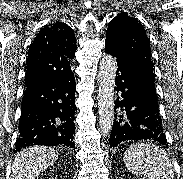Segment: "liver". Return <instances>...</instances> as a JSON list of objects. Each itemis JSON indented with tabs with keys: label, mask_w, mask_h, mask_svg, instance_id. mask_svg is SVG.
Wrapping results in <instances>:
<instances>
[{
	"label": "liver",
	"mask_w": 183,
	"mask_h": 179,
	"mask_svg": "<svg viewBox=\"0 0 183 179\" xmlns=\"http://www.w3.org/2000/svg\"><path fill=\"white\" fill-rule=\"evenodd\" d=\"M58 158L51 147L33 146L21 150L14 158L11 179H35Z\"/></svg>",
	"instance_id": "1"
}]
</instances>
